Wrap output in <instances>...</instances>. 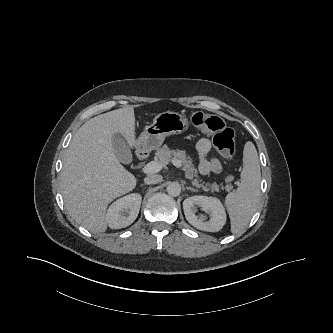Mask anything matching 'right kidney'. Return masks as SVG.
Here are the masks:
<instances>
[{
    "label": "right kidney",
    "instance_id": "right-kidney-1",
    "mask_svg": "<svg viewBox=\"0 0 333 333\" xmlns=\"http://www.w3.org/2000/svg\"><path fill=\"white\" fill-rule=\"evenodd\" d=\"M142 197L132 193L116 200L107 210L106 221L111 229H121L131 225L138 216Z\"/></svg>",
    "mask_w": 333,
    "mask_h": 333
}]
</instances>
